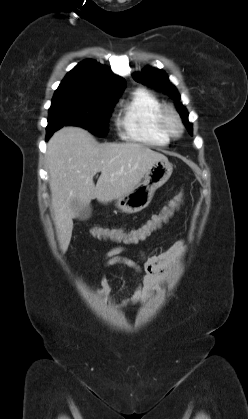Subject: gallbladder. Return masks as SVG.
Returning a JSON list of instances; mask_svg holds the SVG:
<instances>
[{"label": "gallbladder", "instance_id": "obj_1", "mask_svg": "<svg viewBox=\"0 0 248 419\" xmlns=\"http://www.w3.org/2000/svg\"><path fill=\"white\" fill-rule=\"evenodd\" d=\"M72 206L74 208L79 209V206H78L77 202H73ZM91 214H92V209H91L90 205L88 204V205L82 207L81 209H79L77 218L79 220H87L88 218H90Z\"/></svg>", "mask_w": 248, "mask_h": 419}]
</instances>
